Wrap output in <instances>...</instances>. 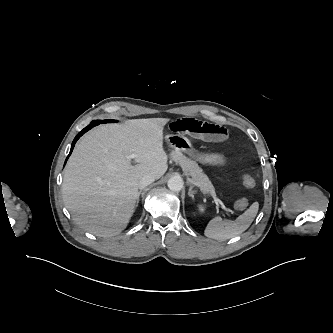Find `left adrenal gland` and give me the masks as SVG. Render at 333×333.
I'll list each match as a JSON object with an SVG mask.
<instances>
[{"label": "left adrenal gland", "mask_w": 333, "mask_h": 333, "mask_svg": "<svg viewBox=\"0 0 333 333\" xmlns=\"http://www.w3.org/2000/svg\"><path fill=\"white\" fill-rule=\"evenodd\" d=\"M196 193V191L193 190V186L190 184V188H189V191H188V195L194 199V194Z\"/></svg>", "instance_id": "left-adrenal-gland-1"}]
</instances>
